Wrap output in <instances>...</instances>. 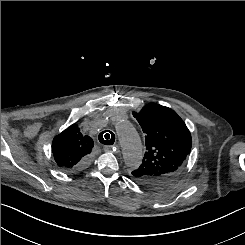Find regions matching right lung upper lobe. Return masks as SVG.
Returning a JSON list of instances; mask_svg holds the SVG:
<instances>
[{
    "mask_svg": "<svg viewBox=\"0 0 245 245\" xmlns=\"http://www.w3.org/2000/svg\"><path fill=\"white\" fill-rule=\"evenodd\" d=\"M93 146L92 138L73 124L53 139L52 152L58 166L71 171L88 158Z\"/></svg>",
    "mask_w": 245,
    "mask_h": 245,
    "instance_id": "obj_1",
    "label": "right lung upper lobe"
}]
</instances>
